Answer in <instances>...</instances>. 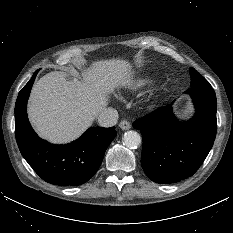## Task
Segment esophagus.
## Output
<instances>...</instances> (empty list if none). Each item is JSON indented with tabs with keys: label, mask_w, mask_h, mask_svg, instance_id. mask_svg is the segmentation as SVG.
<instances>
[{
	"label": "esophagus",
	"mask_w": 233,
	"mask_h": 233,
	"mask_svg": "<svg viewBox=\"0 0 233 233\" xmlns=\"http://www.w3.org/2000/svg\"><path fill=\"white\" fill-rule=\"evenodd\" d=\"M119 127L122 129V130H128L131 128V124L127 121V120H122L120 123H119Z\"/></svg>",
	"instance_id": "1"
}]
</instances>
